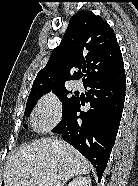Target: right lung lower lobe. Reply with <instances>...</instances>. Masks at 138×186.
Returning <instances> with one entry per match:
<instances>
[{"mask_svg": "<svg viewBox=\"0 0 138 186\" xmlns=\"http://www.w3.org/2000/svg\"><path fill=\"white\" fill-rule=\"evenodd\" d=\"M125 76L109 82H91L86 102L91 109L80 110L84 101L77 97L73 107L63 115L52 132L82 153L95 167L98 180L115 143L125 101ZM80 115H77V113Z\"/></svg>", "mask_w": 138, "mask_h": 186, "instance_id": "98d812e1", "label": "right lung lower lobe"}]
</instances>
